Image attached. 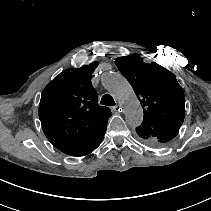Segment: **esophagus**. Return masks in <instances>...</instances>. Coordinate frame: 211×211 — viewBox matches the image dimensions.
Returning a JSON list of instances; mask_svg holds the SVG:
<instances>
[{"label":"esophagus","instance_id":"34e87169","mask_svg":"<svg viewBox=\"0 0 211 211\" xmlns=\"http://www.w3.org/2000/svg\"><path fill=\"white\" fill-rule=\"evenodd\" d=\"M112 109H113L114 112H121L122 111V108L119 105L114 106Z\"/></svg>","mask_w":211,"mask_h":211}]
</instances>
